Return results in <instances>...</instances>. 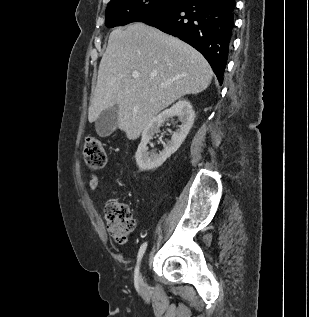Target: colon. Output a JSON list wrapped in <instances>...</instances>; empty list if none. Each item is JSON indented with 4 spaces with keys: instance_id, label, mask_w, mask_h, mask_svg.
I'll list each match as a JSON object with an SVG mask.
<instances>
[{
    "instance_id": "colon-1",
    "label": "colon",
    "mask_w": 309,
    "mask_h": 317,
    "mask_svg": "<svg viewBox=\"0 0 309 317\" xmlns=\"http://www.w3.org/2000/svg\"><path fill=\"white\" fill-rule=\"evenodd\" d=\"M87 165L93 169H101L107 162L103 143L94 136L85 139L83 147ZM106 230L117 242H125L135 228V220L129 206L114 200L106 204L104 210Z\"/></svg>"
}]
</instances>
